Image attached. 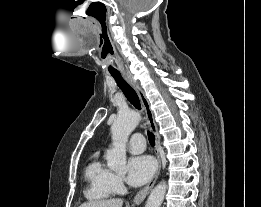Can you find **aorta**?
Returning <instances> with one entry per match:
<instances>
[{
  "instance_id": "obj_1",
  "label": "aorta",
  "mask_w": 261,
  "mask_h": 207,
  "mask_svg": "<svg viewBox=\"0 0 261 207\" xmlns=\"http://www.w3.org/2000/svg\"><path fill=\"white\" fill-rule=\"evenodd\" d=\"M140 115L134 111L121 112L111 126L112 148L107 151V165L112 170L124 172L126 169V143L129 135L139 124ZM167 185L160 182L150 193L145 207H160Z\"/></svg>"
}]
</instances>
